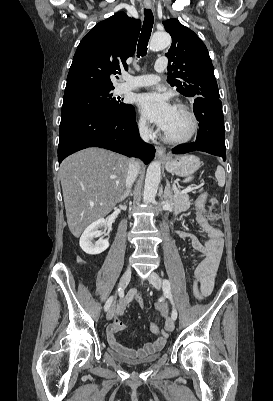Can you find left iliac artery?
<instances>
[{"label":"left iliac artery","instance_id":"1","mask_svg":"<svg viewBox=\"0 0 273 401\" xmlns=\"http://www.w3.org/2000/svg\"><path fill=\"white\" fill-rule=\"evenodd\" d=\"M163 290H164V292H165L167 298L171 301V304H172V306H173V310H172V315H171V317H172L173 320H176V318H177V311H176V309H175V304H174V301H173V296H172V294H171L170 282H169V280H167V279H164V280H163Z\"/></svg>","mask_w":273,"mask_h":401}]
</instances>
